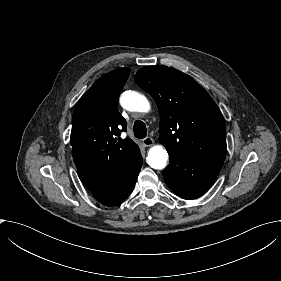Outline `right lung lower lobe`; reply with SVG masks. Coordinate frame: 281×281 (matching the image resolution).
<instances>
[{"label":"right lung lower lobe","mask_w":281,"mask_h":281,"mask_svg":"<svg viewBox=\"0 0 281 281\" xmlns=\"http://www.w3.org/2000/svg\"><path fill=\"white\" fill-rule=\"evenodd\" d=\"M141 166L142 156L138 149L114 177L91 193L103 205L114 206L121 203L131 194Z\"/></svg>","instance_id":"98d812e1"}]
</instances>
